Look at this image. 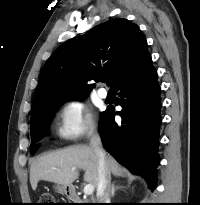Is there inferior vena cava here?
Instances as JSON below:
<instances>
[{
    "label": "inferior vena cava",
    "instance_id": "obj_1",
    "mask_svg": "<svg viewBox=\"0 0 200 205\" xmlns=\"http://www.w3.org/2000/svg\"><path fill=\"white\" fill-rule=\"evenodd\" d=\"M90 146L98 158L97 198L99 203H110L111 175L107 165L106 154L102 149V142L98 133L91 134Z\"/></svg>",
    "mask_w": 200,
    "mask_h": 205
}]
</instances>
